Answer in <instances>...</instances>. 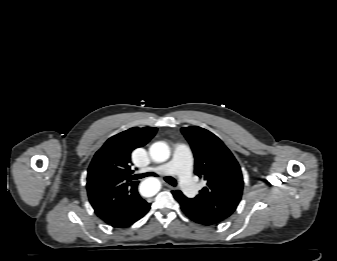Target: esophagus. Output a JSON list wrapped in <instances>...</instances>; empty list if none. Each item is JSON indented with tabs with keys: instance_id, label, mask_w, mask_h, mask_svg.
Masks as SVG:
<instances>
[{
	"instance_id": "34e87169",
	"label": "esophagus",
	"mask_w": 337,
	"mask_h": 261,
	"mask_svg": "<svg viewBox=\"0 0 337 261\" xmlns=\"http://www.w3.org/2000/svg\"><path fill=\"white\" fill-rule=\"evenodd\" d=\"M166 186H167L169 189H171V190H173V189H174V187H173V186H171V185H169V184H166Z\"/></svg>"
}]
</instances>
